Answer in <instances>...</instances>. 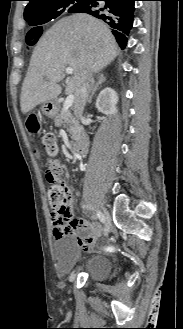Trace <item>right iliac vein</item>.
<instances>
[{
    "mask_svg": "<svg viewBox=\"0 0 183 329\" xmlns=\"http://www.w3.org/2000/svg\"><path fill=\"white\" fill-rule=\"evenodd\" d=\"M103 216H104V223H105V226H104V237L108 236L109 232H110V217H109V214L108 212L103 209Z\"/></svg>",
    "mask_w": 183,
    "mask_h": 329,
    "instance_id": "63e3f726",
    "label": "right iliac vein"
}]
</instances>
